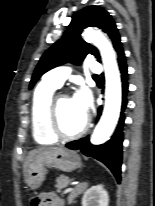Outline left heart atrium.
I'll list each match as a JSON object with an SVG mask.
<instances>
[{
    "mask_svg": "<svg viewBox=\"0 0 155 206\" xmlns=\"http://www.w3.org/2000/svg\"><path fill=\"white\" fill-rule=\"evenodd\" d=\"M72 99L80 114L86 117L91 103L88 91L86 89H80Z\"/></svg>",
    "mask_w": 155,
    "mask_h": 206,
    "instance_id": "39dd6f15",
    "label": "left heart atrium"
}]
</instances>
